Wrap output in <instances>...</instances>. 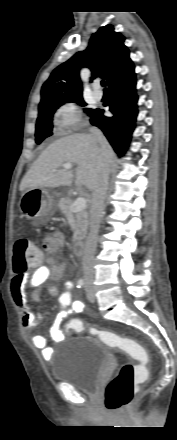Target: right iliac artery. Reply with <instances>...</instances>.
<instances>
[{
  "instance_id": "right-iliac-artery-1",
  "label": "right iliac artery",
  "mask_w": 177,
  "mask_h": 440,
  "mask_svg": "<svg viewBox=\"0 0 177 440\" xmlns=\"http://www.w3.org/2000/svg\"><path fill=\"white\" fill-rule=\"evenodd\" d=\"M84 285V280L83 279H79L77 282V287L81 288Z\"/></svg>"
}]
</instances>
